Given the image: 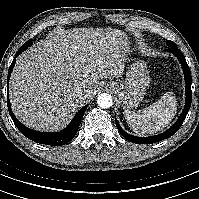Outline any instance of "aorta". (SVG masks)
Wrapping results in <instances>:
<instances>
[{
    "label": "aorta",
    "mask_w": 199,
    "mask_h": 199,
    "mask_svg": "<svg viewBox=\"0 0 199 199\" xmlns=\"http://www.w3.org/2000/svg\"><path fill=\"white\" fill-rule=\"evenodd\" d=\"M97 104L101 108H110L113 105V99L110 94L102 93L97 98Z\"/></svg>",
    "instance_id": "aorta-1"
}]
</instances>
